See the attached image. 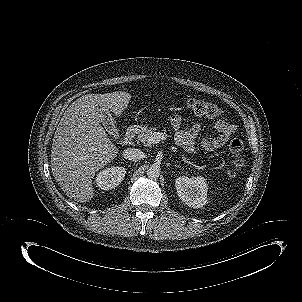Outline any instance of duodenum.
<instances>
[{
	"label": "duodenum",
	"mask_w": 302,
	"mask_h": 302,
	"mask_svg": "<svg viewBox=\"0 0 302 302\" xmlns=\"http://www.w3.org/2000/svg\"><path fill=\"white\" fill-rule=\"evenodd\" d=\"M141 127L139 125H132L130 126L125 136L123 137L122 143L123 144H129L137 135L138 132H140Z\"/></svg>",
	"instance_id": "obj_1"
}]
</instances>
